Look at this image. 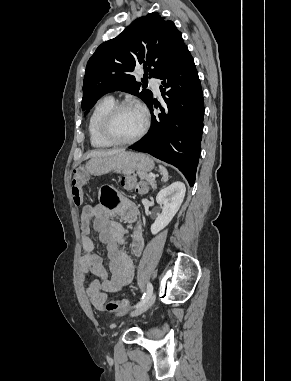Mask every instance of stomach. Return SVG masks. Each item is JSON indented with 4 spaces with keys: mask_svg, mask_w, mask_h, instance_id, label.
Segmentation results:
<instances>
[{
    "mask_svg": "<svg viewBox=\"0 0 291 381\" xmlns=\"http://www.w3.org/2000/svg\"><path fill=\"white\" fill-rule=\"evenodd\" d=\"M154 168L152 158L143 153L121 152L106 157H95L85 165L84 172L94 176H101L114 170L141 171L147 173Z\"/></svg>",
    "mask_w": 291,
    "mask_h": 381,
    "instance_id": "stomach-1",
    "label": "stomach"
}]
</instances>
